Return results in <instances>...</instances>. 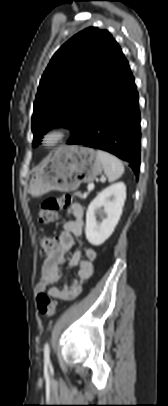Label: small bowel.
I'll return each instance as SVG.
<instances>
[{"mask_svg":"<svg viewBox=\"0 0 168 406\" xmlns=\"http://www.w3.org/2000/svg\"><path fill=\"white\" fill-rule=\"evenodd\" d=\"M67 214L74 218L64 223L58 248L43 262L41 278L35 287L38 293L44 292L48 286L61 279V267L67 260L68 252L76 243H81L84 210L81 205L74 203L68 208ZM96 256L97 252L93 248L85 250V259L82 258L80 251H76L69 259L70 266H79L76 278L66 282L62 287H50L49 295L66 301L75 299L82 292L83 283L93 274V262Z\"/></svg>","mask_w":168,"mask_h":406,"instance_id":"1","label":"small bowel"}]
</instances>
